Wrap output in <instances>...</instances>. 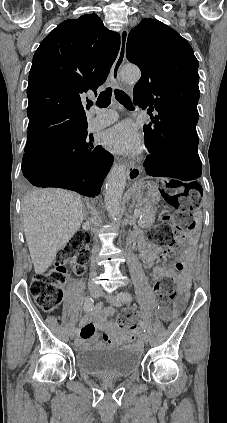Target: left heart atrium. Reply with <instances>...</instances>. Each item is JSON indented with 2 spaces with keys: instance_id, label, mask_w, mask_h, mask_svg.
<instances>
[{
  "instance_id": "39dd6f15",
  "label": "left heart atrium",
  "mask_w": 227,
  "mask_h": 423,
  "mask_svg": "<svg viewBox=\"0 0 227 423\" xmlns=\"http://www.w3.org/2000/svg\"><path fill=\"white\" fill-rule=\"evenodd\" d=\"M101 141L109 151L116 154L133 156L142 148L141 134L129 125H120L103 132Z\"/></svg>"
}]
</instances>
